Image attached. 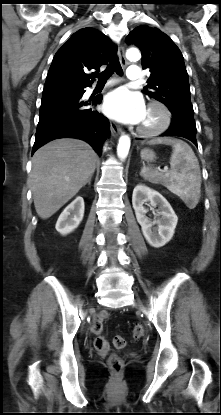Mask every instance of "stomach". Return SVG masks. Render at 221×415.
Listing matches in <instances>:
<instances>
[{
	"label": "stomach",
	"mask_w": 221,
	"mask_h": 415,
	"mask_svg": "<svg viewBox=\"0 0 221 415\" xmlns=\"http://www.w3.org/2000/svg\"><path fill=\"white\" fill-rule=\"evenodd\" d=\"M141 158L146 161H153L155 159V153L150 149H143L141 151Z\"/></svg>",
	"instance_id": "0dacf381"
}]
</instances>
